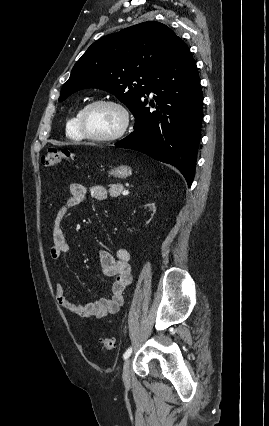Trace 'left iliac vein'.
Masks as SVG:
<instances>
[{"mask_svg": "<svg viewBox=\"0 0 269 426\" xmlns=\"http://www.w3.org/2000/svg\"><path fill=\"white\" fill-rule=\"evenodd\" d=\"M122 379L125 386L127 387L130 386L131 378H130V360L129 359H126L124 361Z\"/></svg>", "mask_w": 269, "mask_h": 426, "instance_id": "obj_1", "label": "left iliac vein"}]
</instances>
